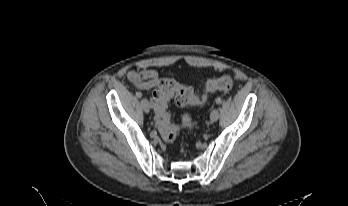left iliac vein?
Segmentation results:
<instances>
[{
  "mask_svg": "<svg viewBox=\"0 0 348 206\" xmlns=\"http://www.w3.org/2000/svg\"><path fill=\"white\" fill-rule=\"evenodd\" d=\"M219 118V111L218 109H213L210 113V119L212 122H216Z\"/></svg>",
  "mask_w": 348,
  "mask_h": 206,
  "instance_id": "left-iliac-vein-1",
  "label": "left iliac vein"
}]
</instances>
